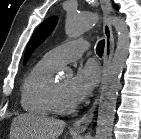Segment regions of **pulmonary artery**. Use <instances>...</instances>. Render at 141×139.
I'll return each instance as SVG.
<instances>
[{
    "instance_id": "pulmonary-artery-1",
    "label": "pulmonary artery",
    "mask_w": 141,
    "mask_h": 139,
    "mask_svg": "<svg viewBox=\"0 0 141 139\" xmlns=\"http://www.w3.org/2000/svg\"><path fill=\"white\" fill-rule=\"evenodd\" d=\"M89 48V43L84 40H74L59 45L48 51L44 57L51 63L62 66L79 59Z\"/></svg>"
}]
</instances>
